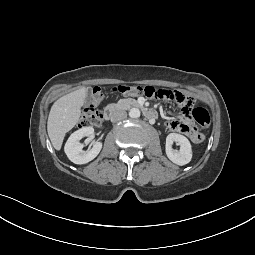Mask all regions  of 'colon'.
<instances>
[{"label": "colon", "instance_id": "obj_1", "mask_svg": "<svg viewBox=\"0 0 255 255\" xmlns=\"http://www.w3.org/2000/svg\"><path fill=\"white\" fill-rule=\"evenodd\" d=\"M113 92L122 95H140L143 94L149 98H165L179 102L185 118L189 121L194 120L199 126L207 127L210 124V115L203 108H193L194 98L192 94H182L178 91H168L166 89H156L151 86L142 87L139 85H120L113 89ZM104 95L99 87L94 88L89 105L84 109L79 127H96L101 123V114L98 110L103 101ZM187 136L195 143L204 140L203 133L193 125L186 129Z\"/></svg>", "mask_w": 255, "mask_h": 255}]
</instances>
